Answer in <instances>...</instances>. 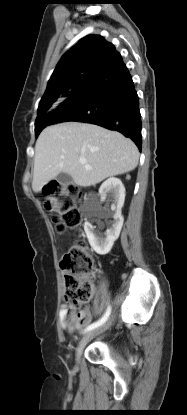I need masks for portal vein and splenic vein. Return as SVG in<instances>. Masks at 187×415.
Returning <instances> with one entry per match:
<instances>
[{
    "label": "portal vein and splenic vein",
    "mask_w": 187,
    "mask_h": 415,
    "mask_svg": "<svg viewBox=\"0 0 187 415\" xmlns=\"http://www.w3.org/2000/svg\"><path fill=\"white\" fill-rule=\"evenodd\" d=\"M79 161H80V163H81V164L85 165V167H86L87 169H91V167H90L89 165H87V164H86V160H85V159L81 158Z\"/></svg>",
    "instance_id": "portal-vein-and-splenic-vein-1"
}]
</instances>
